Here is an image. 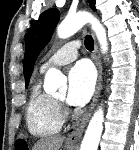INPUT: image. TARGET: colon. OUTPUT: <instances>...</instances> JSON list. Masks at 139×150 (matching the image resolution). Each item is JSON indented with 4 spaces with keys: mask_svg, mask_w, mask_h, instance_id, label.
<instances>
[{
    "mask_svg": "<svg viewBox=\"0 0 139 150\" xmlns=\"http://www.w3.org/2000/svg\"><path fill=\"white\" fill-rule=\"evenodd\" d=\"M15 149L16 150H28L27 148V144L23 141H19L16 143V146H15Z\"/></svg>",
    "mask_w": 139,
    "mask_h": 150,
    "instance_id": "5ec220e1",
    "label": "colon"
}]
</instances>
